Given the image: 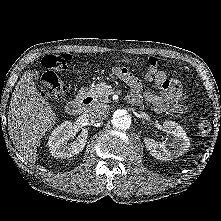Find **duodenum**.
I'll use <instances>...</instances> for the list:
<instances>
[{"label":"duodenum","instance_id":"1","mask_svg":"<svg viewBox=\"0 0 221 221\" xmlns=\"http://www.w3.org/2000/svg\"><path fill=\"white\" fill-rule=\"evenodd\" d=\"M93 102V97L89 94H83L66 105V112L70 116H78L81 114L84 105H90Z\"/></svg>","mask_w":221,"mask_h":221}]
</instances>
